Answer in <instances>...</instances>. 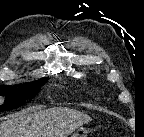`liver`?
Instances as JSON below:
<instances>
[{"label":"liver","mask_w":144,"mask_h":137,"mask_svg":"<svg viewBox=\"0 0 144 137\" xmlns=\"http://www.w3.org/2000/svg\"><path fill=\"white\" fill-rule=\"evenodd\" d=\"M91 120L89 115L66 107L22 111L0 124V137H68Z\"/></svg>","instance_id":"1"}]
</instances>
